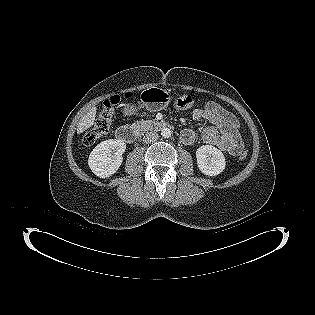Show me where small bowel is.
<instances>
[{"label": "small bowel", "instance_id": "c3829d8e", "mask_svg": "<svg viewBox=\"0 0 315 315\" xmlns=\"http://www.w3.org/2000/svg\"><path fill=\"white\" fill-rule=\"evenodd\" d=\"M192 117L196 121L209 123V126L203 129L200 136L203 143L215 146L235 156L243 150L237 118L219 103L206 102L203 107L192 111ZM196 138L195 132L191 129H184L181 132V140L186 145H192Z\"/></svg>", "mask_w": 315, "mask_h": 315}]
</instances>
